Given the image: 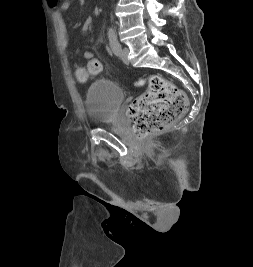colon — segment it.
I'll return each instance as SVG.
<instances>
[{
  "mask_svg": "<svg viewBox=\"0 0 253 267\" xmlns=\"http://www.w3.org/2000/svg\"><path fill=\"white\" fill-rule=\"evenodd\" d=\"M84 56L88 60L87 70L81 66L75 68V75L80 81H85L88 73L99 74L103 69L101 61L91 52H85ZM145 82L147 90L128 109L132 132L141 139L165 129L180 118L188 106L185 93L167 79L153 75L139 80L137 84Z\"/></svg>",
  "mask_w": 253,
  "mask_h": 267,
  "instance_id": "obj_1",
  "label": "colon"
}]
</instances>
